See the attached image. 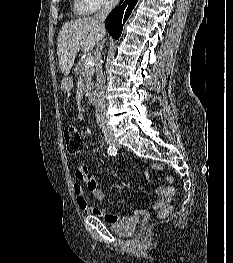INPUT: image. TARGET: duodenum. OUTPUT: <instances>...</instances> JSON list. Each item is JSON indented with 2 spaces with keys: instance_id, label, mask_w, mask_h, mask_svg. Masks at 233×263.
Returning a JSON list of instances; mask_svg holds the SVG:
<instances>
[{
  "instance_id": "410a0bca",
  "label": "duodenum",
  "mask_w": 233,
  "mask_h": 263,
  "mask_svg": "<svg viewBox=\"0 0 233 263\" xmlns=\"http://www.w3.org/2000/svg\"><path fill=\"white\" fill-rule=\"evenodd\" d=\"M94 85V80H92V78H85V86H84V89L86 90V93L87 94H94L95 93V90L93 89V86ZM90 102L93 104V105H96V103L99 102V99L97 98L96 95H91L90 96Z\"/></svg>"
}]
</instances>
